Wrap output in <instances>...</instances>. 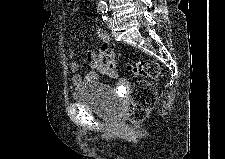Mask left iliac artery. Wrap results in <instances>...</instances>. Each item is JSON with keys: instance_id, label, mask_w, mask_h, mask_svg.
Listing matches in <instances>:
<instances>
[{"instance_id": "left-iliac-artery-1", "label": "left iliac artery", "mask_w": 225, "mask_h": 159, "mask_svg": "<svg viewBox=\"0 0 225 159\" xmlns=\"http://www.w3.org/2000/svg\"><path fill=\"white\" fill-rule=\"evenodd\" d=\"M103 21L107 20L106 15L102 16Z\"/></svg>"}]
</instances>
